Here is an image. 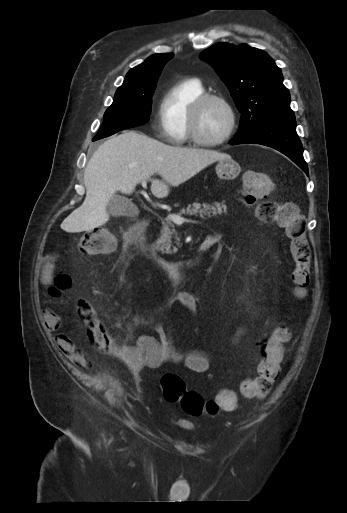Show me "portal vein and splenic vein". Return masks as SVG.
Segmentation results:
<instances>
[{
  "instance_id": "portal-vein-and-splenic-vein-1",
  "label": "portal vein and splenic vein",
  "mask_w": 347,
  "mask_h": 513,
  "mask_svg": "<svg viewBox=\"0 0 347 513\" xmlns=\"http://www.w3.org/2000/svg\"><path fill=\"white\" fill-rule=\"evenodd\" d=\"M142 187H143V188H146V187H147V183H146V181H142ZM168 218H169L172 222H174L175 224H177V225H181L183 222H193V223H195V221L188 220V219H186V218H184V217H182V216H180V215H176V214H170V215L168 216Z\"/></svg>"
}]
</instances>
